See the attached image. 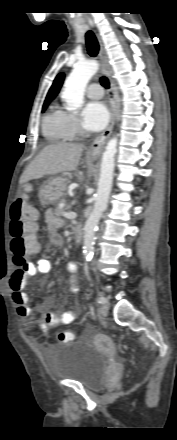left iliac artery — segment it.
Here are the masks:
<instances>
[{"label": "left iliac artery", "mask_w": 177, "mask_h": 440, "mask_svg": "<svg viewBox=\"0 0 177 440\" xmlns=\"http://www.w3.org/2000/svg\"><path fill=\"white\" fill-rule=\"evenodd\" d=\"M97 301L100 304H104L106 300H105V297H99Z\"/></svg>", "instance_id": "1"}]
</instances>
